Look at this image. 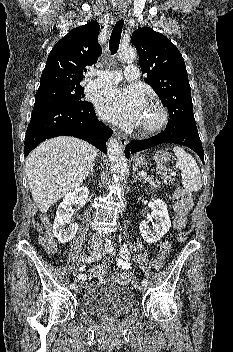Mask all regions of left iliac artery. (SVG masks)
Returning <instances> with one entry per match:
<instances>
[{"label":"left iliac artery","mask_w":233,"mask_h":352,"mask_svg":"<svg viewBox=\"0 0 233 352\" xmlns=\"http://www.w3.org/2000/svg\"><path fill=\"white\" fill-rule=\"evenodd\" d=\"M113 249H114V247L110 246L109 249H108V251H107V253L112 252ZM147 284H148L147 280H146V279H143V280H142V285L147 286Z\"/></svg>","instance_id":"left-iliac-artery-1"}]
</instances>
